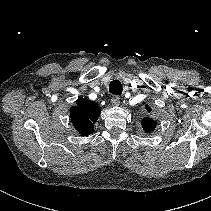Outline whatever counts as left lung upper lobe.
Returning <instances> with one entry per match:
<instances>
[{"instance_id": "5c2ea615", "label": "left lung upper lobe", "mask_w": 211, "mask_h": 211, "mask_svg": "<svg viewBox=\"0 0 211 211\" xmlns=\"http://www.w3.org/2000/svg\"><path fill=\"white\" fill-rule=\"evenodd\" d=\"M145 107L148 112L151 111V108L148 105H146ZM141 123L145 132H148V133L152 132L156 128V125H157L156 121L151 119L150 117H144Z\"/></svg>"}]
</instances>
